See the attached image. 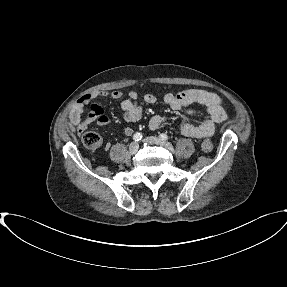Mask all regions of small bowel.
Segmentation results:
<instances>
[{
  "label": "small bowel",
  "instance_id": "c3829d8e",
  "mask_svg": "<svg viewBox=\"0 0 287 287\" xmlns=\"http://www.w3.org/2000/svg\"><path fill=\"white\" fill-rule=\"evenodd\" d=\"M109 97L113 100H121L123 93L115 90L112 92H97L86 94L78 99L70 113V127L79 133H83L87 126L96 122L99 126H106L111 123L110 119L104 114L103 109L92 101L96 98ZM138 94L136 91H129L127 99L120 103L123 111V118L127 122H137L142 116V110L137 105L136 100ZM164 104L170 106L173 110L188 109L189 113H193V105L199 104L206 108V117L197 125L191 123H180L179 129L181 133L187 137L202 139L212 136L217 127L227 119L226 112L222 107L221 99L209 92L201 90H187L177 94L166 93L162 98ZM146 104H152L156 101L155 95L148 93L143 96ZM90 104V112L83 117V111L86 105ZM165 121L160 115L153 116L149 121V128L155 130ZM125 135L130 136L133 133L131 127L123 129ZM109 144L106 145L109 148Z\"/></svg>",
  "mask_w": 287,
  "mask_h": 287
}]
</instances>
